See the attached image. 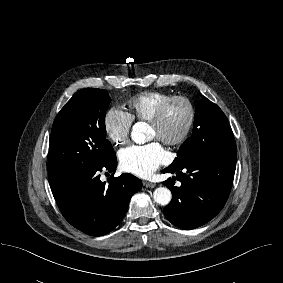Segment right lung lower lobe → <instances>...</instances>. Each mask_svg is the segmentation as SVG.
<instances>
[{"label":"right lung lower lobe","instance_id":"1","mask_svg":"<svg viewBox=\"0 0 283 283\" xmlns=\"http://www.w3.org/2000/svg\"><path fill=\"white\" fill-rule=\"evenodd\" d=\"M116 163L114 154L101 166L50 184L64 218L88 235L102 236L112 231L124 218L131 196L142 187L141 180L129 173L102 182L99 173L115 172Z\"/></svg>","mask_w":283,"mask_h":283}]
</instances>
